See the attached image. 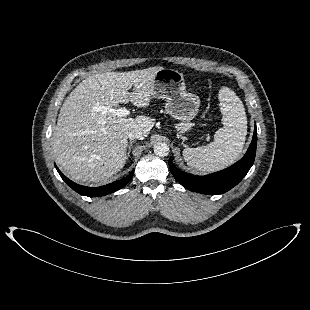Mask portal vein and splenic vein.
I'll use <instances>...</instances> for the list:
<instances>
[{
	"label": "portal vein and splenic vein",
	"instance_id": "18ae733b",
	"mask_svg": "<svg viewBox=\"0 0 310 310\" xmlns=\"http://www.w3.org/2000/svg\"><path fill=\"white\" fill-rule=\"evenodd\" d=\"M98 111H103V112H110L113 113L117 117H125L130 115V111L126 108H119V109H113L109 107H99L97 108Z\"/></svg>",
	"mask_w": 310,
	"mask_h": 310
}]
</instances>
